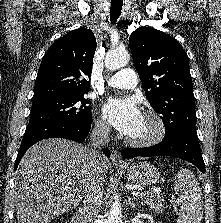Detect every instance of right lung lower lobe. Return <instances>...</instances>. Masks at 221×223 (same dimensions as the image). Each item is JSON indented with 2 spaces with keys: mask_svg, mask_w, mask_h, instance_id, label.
<instances>
[{
  "mask_svg": "<svg viewBox=\"0 0 221 223\" xmlns=\"http://www.w3.org/2000/svg\"><path fill=\"white\" fill-rule=\"evenodd\" d=\"M91 123L74 124L63 121H52L31 128H26L20 150L15 161V169L27 149L36 142L47 138H65L76 142H83L89 134ZM102 151L106 156H110V152L107 148L102 149Z\"/></svg>",
  "mask_w": 221,
  "mask_h": 223,
  "instance_id": "right-lung-lower-lobe-1",
  "label": "right lung lower lobe"
}]
</instances>
